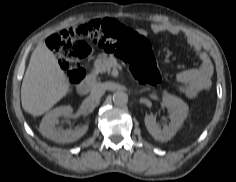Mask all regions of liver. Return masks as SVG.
I'll use <instances>...</instances> for the list:
<instances>
[{
  "label": "liver",
  "instance_id": "liver-1",
  "mask_svg": "<svg viewBox=\"0 0 236 182\" xmlns=\"http://www.w3.org/2000/svg\"><path fill=\"white\" fill-rule=\"evenodd\" d=\"M70 92V84L55 54L40 41L34 49L21 87L23 109L34 116L49 111Z\"/></svg>",
  "mask_w": 236,
  "mask_h": 182
}]
</instances>
